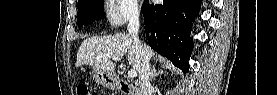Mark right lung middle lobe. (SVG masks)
<instances>
[{
  "instance_id": "1",
  "label": "right lung middle lobe",
  "mask_w": 277,
  "mask_h": 95,
  "mask_svg": "<svg viewBox=\"0 0 277 95\" xmlns=\"http://www.w3.org/2000/svg\"><path fill=\"white\" fill-rule=\"evenodd\" d=\"M104 0H80L78 2V26L93 23L95 20L104 17Z\"/></svg>"
}]
</instances>
